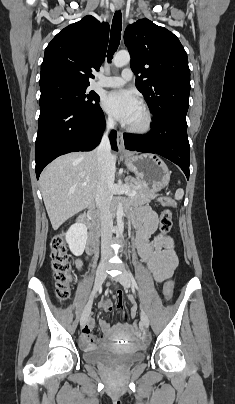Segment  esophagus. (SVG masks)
I'll return each instance as SVG.
<instances>
[{"instance_id":"1","label":"esophagus","mask_w":235,"mask_h":404,"mask_svg":"<svg viewBox=\"0 0 235 404\" xmlns=\"http://www.w3.org/2000/svg\"><path fill=\"white\" fill-rule=\"evenodd\" d=\"M121 6L122 5L120 3H115L116 9H120ZM117 146H118L119 152L121 154L127 153V150L125 149V146H124L123 133L121 131L117 132Z\"/></svg>"}]
</instances>
